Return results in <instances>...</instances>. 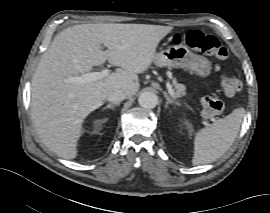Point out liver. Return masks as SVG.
<instances>
[{
	"mask_svg": "<svg viewBox=\"0 0 270 213\" xmlns=\"http://www.w3.org/2000/svg\"><path fill=\"white\" fill-rule=\"evenodd\" d=\"M173 28L147 24H80L57 34L42 55L32 79L31 116L44 144L64 159L77 157L84 119L116 89L132 97L138 74L152 64L160 41ZM101 44L108 50L103 51ZM106 60L118 66L85 84L67 83Z\"/></svg>",
	"mask_w": 270,
	"mask_h": 213,
	"instance_id": "6515ba94",
	"label": "liver"
}]
</instances>
